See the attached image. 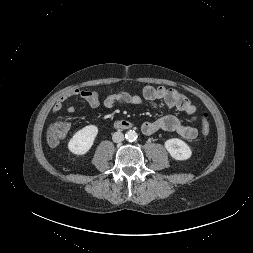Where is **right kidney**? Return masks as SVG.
Here are the masks:
<instances>
[{
    "mask_svg": "<svg viewBox=\"0 0 253 253\" xmlns=\"http://www.w3.org/2000/svg\"><path fill=\"white\" fill-rule=\"evenodd\" d=\"M98 134V127L88 125L77 131L68 143V149L76 155L86 154L92 147Z\"/></svg>",
    "mask_w": 253,
    "mask_h": 253,
    "instance_id": "1",
    "label": "right kidney"
}]
</instances>
